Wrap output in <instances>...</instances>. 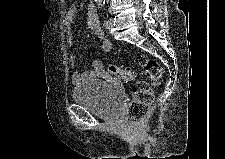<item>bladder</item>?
I'll return each mask as SVG.
<instances>
[{"instance_id": "1", "label": "bladder", "mask_w": 225, "mask_h": 159, "mask_svg": "<svg viewBox=\"0 0 225 159\" xmlns=\"http://www.w3.org/2000/svg\"><path fill=\"white\" fill-rule=\"evenodd\" d=\"M73 101L104 120L117 118L121 97L112 86L102 80H93L76 86L72 91Z\"/></svg>"}]
</instances>
